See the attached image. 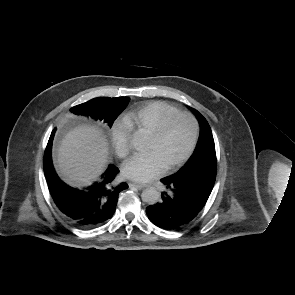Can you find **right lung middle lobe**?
Instances as JSON below:
<instances>
[{"mask_svg":"<svg viewBox=\"0 0 295 295\" xmlns=\"http://www.w3.org/2000/svg\"><path fill=\"white\" fill-rule=\"evenodd\" d=\"M128 97L94 98L71 108L77 115L89 116L95 120L107 123L110 127L129 103ZM44 173L53 169L52 160L47 157L43 161Z\"/></svg>","mask_w":295,"mask_h":295,"instance_id":"obj_1","label":"right lung middle lobe"}]
</instances>
